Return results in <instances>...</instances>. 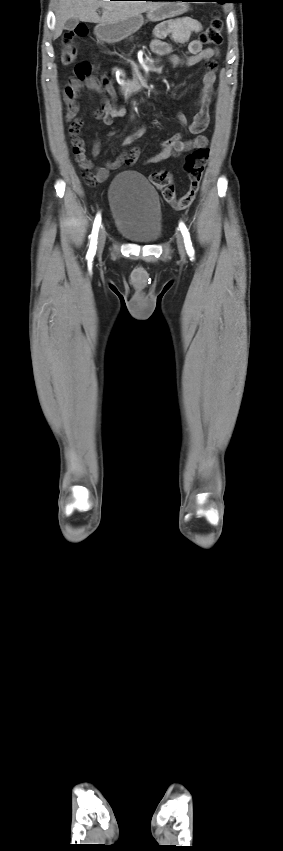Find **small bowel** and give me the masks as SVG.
<instances>
[{"label":"small bowel","mask_w":283,"mask_h":851,"mask_svg":"<svg viewBox=\"0 0 283 851\" xmlns=\"http://www.w3.org/2000/svg\"><path fill=\"white\" fill-rule=\"evenodd\" d=\"M200 30L201 24L197 20L191 18H177L164 21L155 28L154 39L151 43L152 50L160 56L167 57L171 65L174 67H190L201 64L216 56L218 51L216 48L203 47L200 40H189L192 33L199 32ZM167 36H171L174 41L178 43H187V50L190 55L187 58H181L178 55L172 54V46L163 40ZM206 68L207 71L203 75L202 88L197 101L198 111L193 120L188 122L183 114H177L179 121L190 133L194 134L195 137L192 139H185L179 133L173 135L171 138L164 140L161 143L159 151L155 155L149 157L145 161V164H156L170 157H177L192 149L205 147L208 144V139L206 136L202 135V132L209 124V105L211 103V97L216 80L214 71L217 68V64L215 61L211 60L207 63ZM91 70V65L86 62L75 66L74 77L67 82L64 89V101L67 110L66 119L67 121L72 122L69 127V135L73 145V153L75 160L84 172L85 177L92 182H104L108 178L109 170L117 169L123 165L134 164L139 157L140 150L137 147H133L130 150L123 152L115 160L107 161L105 166H96L88 157L85 142L81 137L82 120L77 117L79 112V105L77 102L79 93L84 90H90L97 92L103 97L101 111L96 113V117L106 126H110L113 123L114 118L122 117L126 113L125 108L115 105L105 97L106 93L109 96H114L116 94V89L114 87H110L107 83L101 84L94 76L91 75ZM144 132L145 129H142L136 135L128 137L125 139L124 145L129 146ZM99 153L100 143L99 141H95L91 154L96 157Z\"/></svg>","instance_id":"c3829d8e"}]
</instances>
